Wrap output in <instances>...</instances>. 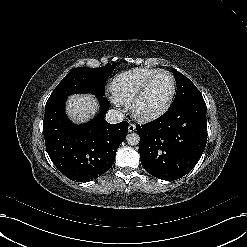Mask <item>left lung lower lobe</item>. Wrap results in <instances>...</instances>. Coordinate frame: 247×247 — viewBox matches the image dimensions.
Segmentation results:
<instances>
[{
	"label": "left lung lower lobe",
	"instance_id": "0a47b994",
	"mask_svg": "<svg viewBox=\"0 0 247 247\" xmlns=\"http://www.w3.org/2000/svg\"><path fill=\"white\" fill-rule=\"evenodd\" d=\"M206 110L198 95L169 108L158 119L136 126L140 161L149 174L173 181L194 168L207 142Z\"/></svg>",
	"mask_w": 247,
	"mask_h": 247
}]
</instances>
